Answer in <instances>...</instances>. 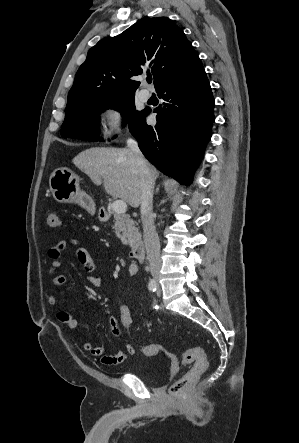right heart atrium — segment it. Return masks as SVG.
I'll return each instance as SVG.
<instances>
[{
  "mask_svg": "<svg viewBox=\"0 0 299 443\" xmlns=\"http://www.w3.org/2000/svg\"><path fill=\"white\" fill-rule=\"evenodd\" d=\"M99 123L102 135L111 140L120 136L124 131L125 111L117 102L105 104L99 112Z\"/></svg>",
  "mask_w": 299,
  "mask_h": 443,
  "instance_id": "d8ad5b80",
  "label": "right heart atrium"
}]
</instances>
